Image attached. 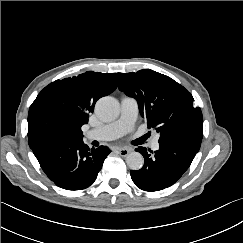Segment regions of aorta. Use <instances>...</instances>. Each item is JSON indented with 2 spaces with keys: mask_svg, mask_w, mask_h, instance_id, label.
<instances>
[{
  "mask_svg": "<svg viewBox=\"0 0 243 243\" xmlns=\"http://www.w3.org/2000/svg\"><path fill=\"white\" fill-rule=\"evenodd\" d=\"M95 113L104 122L113 121L119 115V104L112 97H102L96 102ZM126 164L131 170H139L143 167L144 157L139 152H130L126 157Z\"/></svg>",
  "mask_w": 243,
  "mask_h": 243,
  "instance_id": "obj_1",
  "label": "aorta"
}]
</instances>
